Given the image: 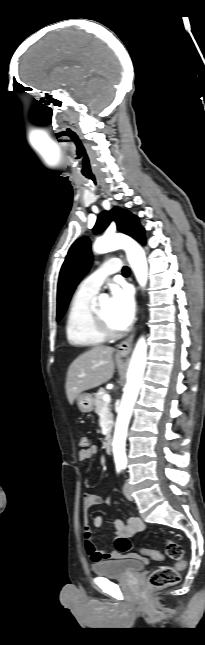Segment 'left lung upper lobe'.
<instances>
[{
    "label": "left lung upper lobe",
    "mask_w": 205,
    "mask_h": 645,
    "mask_svg": "<svg viewBox=\"0 0 205 645\" xmlns=\"http://www.w3.org/2000/svg\"><path fill=\"white\" fill-rule=\"evenodd\" d=\"M112 220L116 222L119 231L133 237L138 242L144 238V229L139 224L138 217L119 207H114L110 212L104 211L99 215L93 228L94 233L104 231ZM91 262L90 239L81 237L70 247L60 271L57 290V321L63 316L73 291L88 272Z\"/></svg>",
    "instance_id": "5c2ea615"
}]
</instances>
